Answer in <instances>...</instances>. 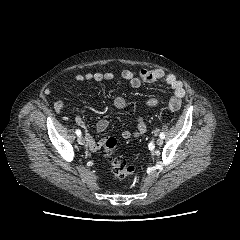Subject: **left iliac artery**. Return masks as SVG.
Here are the masks:
<instances>
[{"mask_svg": "<svg viewBox=\"0 0 240 240\" xmlns=\"http://www.w3.org/2000/svg\"><path fill=\"white\" fill-rule=\"evenodd\" d=\"M159 137H160L161 139H164V138H165V134H164V133H160Z\"/></svg>", "mask_w": 240, "mask_h": 240, "instance_id": "44dca946", "label": "left iliac artery"}]
</instances>
